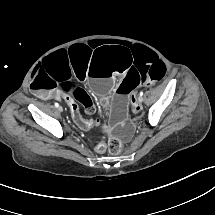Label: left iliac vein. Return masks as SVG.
<instances>
[{
    "label": "left iliac vein",
    "instance_id": "4c4485c4",
    "mask_svg": "<svg viewBox=\"0 0 215 215\" xmlns=\"http://www.w3.org/2000/svg\"><path fill=\"white\" fill-rule=\"evenodd\" d=\"M142 99H143V97H140V96H139V98H138V103H139V104L143 101Z\"/></svg>",
    "mask_w": 215,
    "mask_h": 215
}]
</instances>
